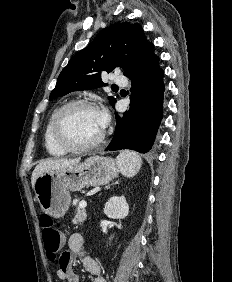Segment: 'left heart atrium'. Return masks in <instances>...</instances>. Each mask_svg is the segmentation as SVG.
Listing matches in <instances>:
<instances>
[{"mask_svg": "<svg viewBox=\"0 0 232 282\" xmlns=\"http://www.w3.org/2000/svg\"><path fill=\"white\" fill-rule=\"evenodd\" d=\"M97 112H98V117H99L101 126L104 129V127L106 126V124L108 122V114L105 110H100V111H97Z\"/></svg>", "mask_w": 232, "mask_h": 282, "instance_id": "obj_1", "label": "left heart atrium"}]
</instances>
